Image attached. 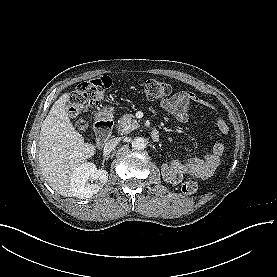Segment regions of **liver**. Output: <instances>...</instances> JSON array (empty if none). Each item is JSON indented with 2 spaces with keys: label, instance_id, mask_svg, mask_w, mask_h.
Returning a JSON list of instances; mask_svg holds the SVG:
<instances>
[{
  "label": "liver",
  "instance_id": "6515ba94",
  "mask_svg": "<svg viewBox=\"0 0 277 277\" xmlns=\"http://www.w3.org/2000/svg\"><path fill=\"white\" fill-rule=\"evenodd\" d=\"M69 94H62L51 107L42 123L38 160L50 186L62 196L81 198L72 177L76 168L95 154V146L84 142L75 130L66 111Z\"/></svg>",
  "mask_w": 277,
  "mask_h": 277
}]
</instances>
